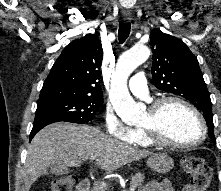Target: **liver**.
Masks as SVG:
<instances>
[{"label":"liver","instance_id":"liver-1","mask_svg":"<svg viewBox=\"0 0 221 191\" xmlns=\"http://www.w3.org/2000/svg\"><path fill=\"white\" fill-rule=\"evenodd\" d=\"M151 154L113 139L92 126L54 123L38 132L28 147L23 173L25 191L56 163L77 167L95 157L101 169L112 171Z\"/></svg>","mask_w":221,"mask_h":191}]
</instances>
